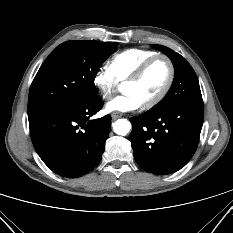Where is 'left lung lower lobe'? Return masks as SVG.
<instances>
[{
  "instance_id": "left-lung-lower-lobe-1",
  "label": "left lung lower lobe",
  "mask_w": 233,
  "mask_h": 233,
  "mask_svg": "<svg viewBox=\"0 0 233 233\" xmlns=\"http://www.w3.org/2000/svg\"><path fill=\"white\" fill-rule=\"evenodd\" d=\"M134 158L156 175L174 173L194 155L203 125V105H176L132 117Z\"/></svg>"
}]
</instances>
